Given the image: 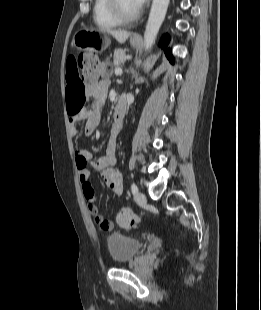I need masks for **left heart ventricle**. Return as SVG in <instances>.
<instances>
[{"label": "left heart ventricle", "mask_w": 261, "mask_h": 310, "mask_svg": "<svg viewBox=\"0 0 261 310\" xmlns=\"http://www.w3.org/2000/svg\"><path fill=\"white\" fill-rule=\"evenodd\" d=\"M119 2L125 14L131 15L139 10L133 0H119Z\"/></svg>", "instance_id": "b2bd125f"}]
</instances>
